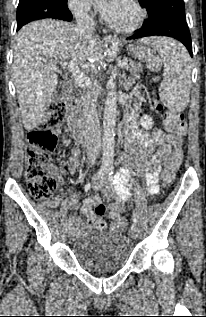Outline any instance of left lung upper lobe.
Listing matches in <instances>:
<instances>
[{"instance_id":"left-lung-upper-lobe-1","label":"left lung upper lobe","mask_w":206,"mask_h":317,"mask_svg":"<svg viewBox=\"0 0 206 317\" xmlns=\"http://www.w3.org/2000/svg\"><path fill=\"white\" fill-rule=\"evenodd\" d=\"M142 7L148 12L150 22L164 17L185 18V7L183 0H138Z\"/></svg>"}]
</instances>
